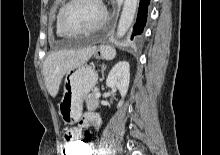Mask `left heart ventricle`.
<instances>
[{
    "mask_svg": "<svg viewBox=\"0 0 220 155\" xmlns=\"http://www.w3.org/2000/svg\"><path fill=\"white\" fill-rule=\"evenodd\" d=\"M103 14L98 0H78L65 11L63 22L69 29H86L97 25Z\"/></svg>",
    "mask_w": 220,
    "mask_h": 155,
    "instance_id": "1",
    "label": "left heart ventricle"
}]
</instances>
